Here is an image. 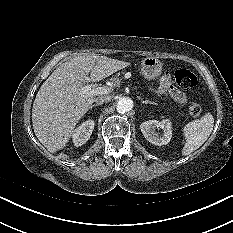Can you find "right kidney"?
Instances as JSON below:
<instances>
[{"instance_id": "1", "label": "right kidney", "mask_w": 233, "mask_h": 233, "mask_svg": "<svg viewBox=\"0 0 233 233\" xmlns=\"http://www.w3.org/2000/svg\"><path fill=\"white\" fill-rule=\"evenodd\" d=\"M94 124L93 120H87L74 130L72 139L76 147L85 144L89 140L94 129Z\"/></svg>"}]
</instances>
